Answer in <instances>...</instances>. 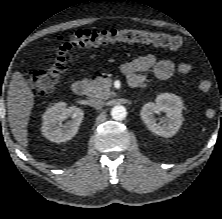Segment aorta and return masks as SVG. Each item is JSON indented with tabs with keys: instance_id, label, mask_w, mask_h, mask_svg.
<instances>
[{
	"instance_id": "obj_1",
	"label": "aorta",
	"mask_w": 222,
	"mask_h": 219,
	"mask_svg": "<svg viewBox=\"0 0 222 219\" xmlns=\"http://www.w3.org/2000/svg\"><path fill=\"white\" fill-rule=\"evenodd\" d=\"M127 111L122 105L114 106L111 110V116L114 120L122 121L126 118Z\"/></svg>"
}]
</instances>
